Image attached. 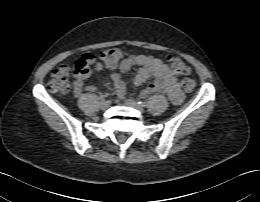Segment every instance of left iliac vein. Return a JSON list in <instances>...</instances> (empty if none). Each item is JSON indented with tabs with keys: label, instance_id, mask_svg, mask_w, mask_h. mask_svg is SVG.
<instances>
[{
	"label": "left iliac vein",
	"instance_id": "1",
	"mask_svg": "<svg viewBox=\"0 0 260 202\" xmlns=\"http://www.w3.org/2000/svg\"><path fill=\"white\" fill-rule=\"evenodd\" d=\"M125 103L128 105V106H131L133 108H135L136 110H138L139 112H144V108L143 106L139 105L136 101L132 100V99H127L125 101Z\"/></svg>",
	"mask_w": 260,
	"mask_h": 202
}]
</instances>
